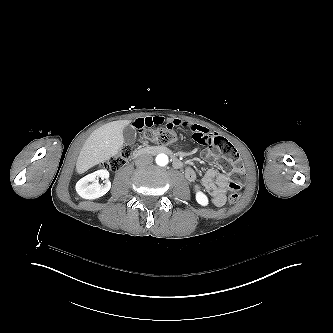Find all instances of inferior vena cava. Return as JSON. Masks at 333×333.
Masks as SVG:
<instances>
[{"label": "inferior vena cava", "instance_id": "inferior-vena-cava-1", "mask_svg": "<svg viewBox=\"0 0 333 333\" xmlns=\"http://www.w3.org/2000/svg\"><path fill=\"white\" fill-rule=\"evenodd\" d=\"M152 162H153V157L148 153L141 154L135 159L136 166H145Z\"/></svg>", "mask_w": 333, "mask_h": 333}]
</instances>
